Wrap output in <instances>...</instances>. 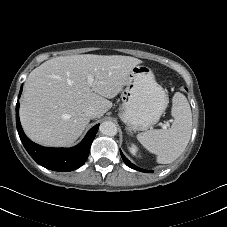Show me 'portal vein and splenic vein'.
Listing matches in <instances>:
<instances>
[{"instance_id": "1", "label": "portal vein and splenic vein", "mask_w": 227, "mask_h": 227, "mask_svg": "<svg viewBox=\"0 0 227 227\" xmlns=\"http://www.w3.org/2000/svg\"><path fill=\"white\" fill-rule=\"evenodd\" d=\"M88 82H89L90 84H92L93 78H92L91 76L88 77ZM161 126H162L163 129H166L168 125H167V124H161Z\"/></svg>"}]
</instances>
